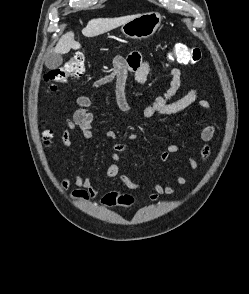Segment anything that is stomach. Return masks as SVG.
Here are the masks:
<instances>
[{"mask_svg":"<svg viewBox=\"0 0 249 294\" xmlns=\"http://www.w3.org/2000/svg\"><path fill=\"white\" fill-rule=\"evenodd\" d=\"M161 23V16L157 12H147L123 24L121 32L129 39L141 40L152 36Z\"/></svg>","mask_w":249,"mask_h":294,"instance_id":"1","label":"stomach"}]
</instances>
